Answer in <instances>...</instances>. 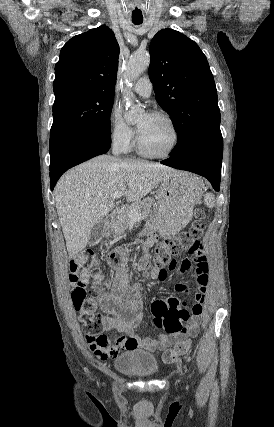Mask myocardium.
<instances>
[{
    "instance_id": "myocardium-1",
    "label": "myocardium",
    "mask_w": 274,
    "mask_h": 427,
    "mask_svg": "<svg viewBox=\"0 0 274 427\" xmlns=\"http://www.w3.org/2000/svg\"><path fill=\"white\" fill-rule=\"evenodd\" d=\"M149 115H151L153 117L161 118L169 124V126L172 130V133H173V142H172L170 148L165 153H163V154H151V153L146 152L143 149V147L141 145L140 138L138 136V133H136V151L138 152V154L140 156L147 158V159H153V160L167 159L174 153V151L176 150V148L179 144L180 134H179V130L177 128V125H176L174 119L169 114H167L165 112L153 111V112H150Z\"/></svg>"
}]
</instances>
